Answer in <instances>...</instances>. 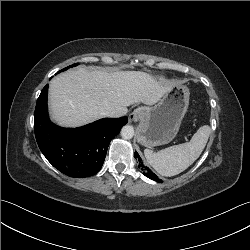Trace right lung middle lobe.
<instances>
[{
	"mask_svg": "<svg viewBox=\"0 0 250 250\" xmlns=\"http://www.w3.org/2000/svg\"><path fill=\"white\" fill-rule=\"evenodd\" d=\"M76 65H78V64H73V65H71V66H69V67H67V68L62 69L61 71L67 70L68 68L73 67V66H76ZM61 71H59V72H61ZM59 72H58V73H59Z\"/></svg>",
	"mask_w": 250,
	"mask_h": 250,
	"instance_id": "obj_1",
	"label": "right lung middle lobe"
}]
</instances>
